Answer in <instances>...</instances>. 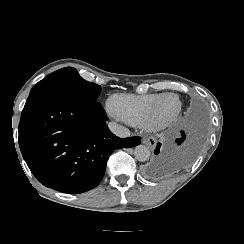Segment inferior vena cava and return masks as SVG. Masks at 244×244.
Here are the masks:
<instances>
[{"label":"inferior vena cava","mask_w":244,"mask_h":244,"mask_svg":"<svg viewBox=\"0 0 244 244\" xmlns=\"http://www.w3.org/2000/svg\"><path fill=\"white\" fill-rule=\"evenodd\" d=\"M108 127L112 133L119 137H129L130 131L126 127L117 124L116 122H109Z\"/></svg>","instance_id":"602c4592"}]
</instances>
